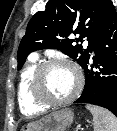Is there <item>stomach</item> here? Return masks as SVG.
<instances>
[{"label": "stomach", "mask_w": 117, "mask_h": 131, "mask_svg": "<svg viewBox=\"0 0 117 131\" xmlns=\"http://www.w3.org/2000/svg\"><path fill=\"white\" fill-rule=\"evenodd\" d=\"M73 119L72 110L65 108L23 125L21 131H65L73 123Z\"/></svg>", "instance_id": "stomach-1"}]
</instances>
